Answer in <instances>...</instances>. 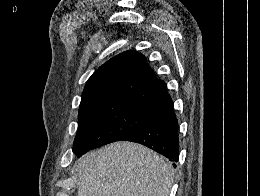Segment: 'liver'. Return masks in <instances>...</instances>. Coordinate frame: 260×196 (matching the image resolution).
<instances>
[{"instance_id":"1","label":"liver","mask_w":260,"mask_h":196,"mask_svg":"<svg viewBox=\"0 0 260 196\" xmlns=\"http://www.w3.org/2000/svg\"><path fill=\"white\" fill-rule=\"evenodd\" d=\"M76 172L77 196H169L174 174L169 162L134 142L87 152Z\"/></svg>"}]
</instances>
